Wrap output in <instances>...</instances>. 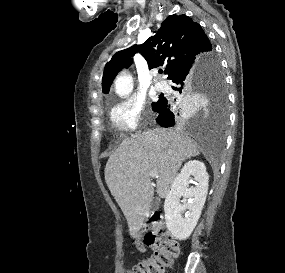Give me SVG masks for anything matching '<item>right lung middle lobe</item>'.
I'll list each match as a JSON object with an SVG mask.
<instances>
[{
  "label": "right lung middle lobe",
  "mask_w": 285,
  "mask_h": 273,
  "mask_svg": "<svg viewBox=\"0 0 285 273\" xmlns=\"http://www.w3.org/2000/svg\"><path fill=\"white\" fill-rule=\"evenodd\" d=\"M201 94L203 97L216 99L220 106V121L222 127H225L227 122V93L225 88V79L221 71L220 62L215 54L208 57L200 88L198 91L190 90L176 101L175 106L188 105L194 101L196 94ZM155 103H152V106Z\"/></svg>",
  "instance_id": "obj_1"
}]
</instances>
